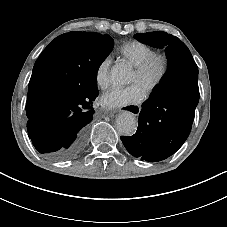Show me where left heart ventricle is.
Here are the masks:
<instances>
[{
  "label": "left heart ventricle",
  "mask_w": 227,
  "mask_h": 227,
  "mask_svg": "<svg viewBox=\"0 0 227 227\" xmlns=\"http://www.w3.org/2000/svg\"><path fill=\"white\" fill-rule=\"evenodd\" d=\"M159 71V66L158 65H155L149 75V79L152 80L156 77L157 73ZM132 82L134 83H138V84H143L141 79L134 73L133 75V79H132Z\"/></svg>",
  "instance_id": "1"
}]
</instances>
